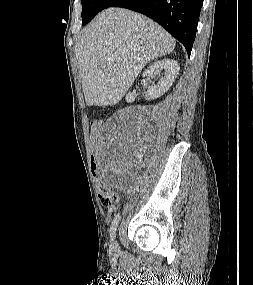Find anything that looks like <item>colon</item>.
I'll list each match as a JSON object with an SVG mask.
<instances>
[{
  "label": "colon",
  "instance_id": "obj_1",
  "mask_svg": "<svg viewBox=\"0 0 253 285\" xmlns=\"http://www.w3.org/2000/svg\"><path fill=\"white\" fill-rule=\"evenodd\" d=\"M97 122H93L90 127L91 133V160H90V172L94 180H97V192L102 205L106 208H112L119 199L118 192L110 186L104 179L105 176L101 175L100 164L98 157V151L100 150L98 140H99V126Z\"/></svg>",
  "mask_w": 253,
  "mask_h": 285
}]
</instances>
